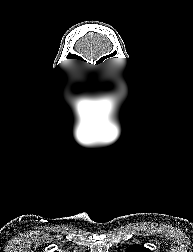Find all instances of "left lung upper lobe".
Segmentation results:
<instances>
[{
	"mask_svg": "<svg viewBox=\"0 0 193 252\" xmlns=\"http://www.w3.org/2000/svg\"><path fill=\"white\" fill-rule=\"evenodd\" d=\"M126 252H151V251L147 248L135 244L127 248Z\"/></svg>",
	"mask_w": 193,
	"mask_h": 252,
	"instance_id": "5c2ea615",
	"label": "left lung upper lobe"
}]
</instances>
